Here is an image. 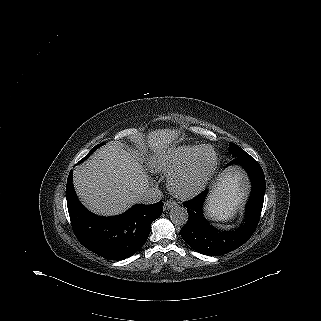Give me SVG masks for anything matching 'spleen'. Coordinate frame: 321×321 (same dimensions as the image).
<instances>
[{
	"label": "spleen",
	"mask_w": 321,
	"mask_h": 321,
	"mask_svg": "<svg viewBox=\"0 0 321 321\" xmlns=\"http://www.w3.org/2000/svg\"><path fill=\"white\" fill-rule=\"evenodd\" d=\"M235 204L230 202L228 198L221 200L219 203H216V200H210V204L207 207L208 215L217 220L227 219L233 214Z\"/></svg>",
	"instance_id": "obj_1"
}]
</instances>
